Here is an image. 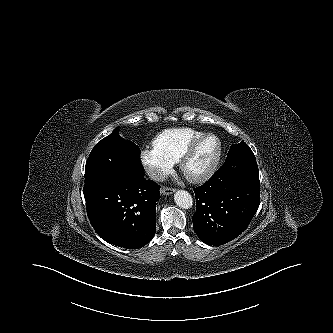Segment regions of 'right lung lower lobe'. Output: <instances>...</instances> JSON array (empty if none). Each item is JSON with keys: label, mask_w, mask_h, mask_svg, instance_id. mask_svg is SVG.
Masks as SVG:
<instances>
[{"label": "right lung lower lobe", "mask_w": 333, "mask_h": 333, "mask_svg": "<svg viewBox=\"0 0 333 333\" xmlns=\"http://www.w3.org/2000/svg\"><path fill=\"white\" fill-rule=\"evenodd\" d=\"M159 190L144 173L87 188L84 197L90 223L110 244L141 248L155 235Z\"/></svg>", "instance_id": "obj_1"}]
</instances>
